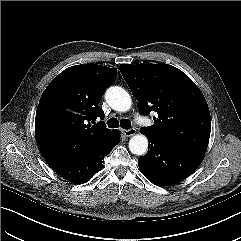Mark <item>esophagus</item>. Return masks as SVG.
I'll list each match as a JSON object with an SVG mask.
<instances>
[{"label": "esophagus", "instance_id": "1", "mask_svg": "<svg viewBox=\"0 0 241 241\" xmlns=\"http://www.w3.org/2000/svg\"><path fill=\"white\" fill-rule=\"evenodd\" d=\"M136 133H137V130L135 128H131V129H128V130H123V134L126 137H131V136L135 135Z\"/></svg>", "mask_w": 241, "mask_h": 241}]
</instances>
